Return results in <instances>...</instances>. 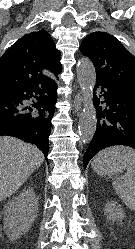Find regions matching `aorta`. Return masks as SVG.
I'll return each instance as SVG.
<instances>
[{
	"instance_id": "aorta-1",
	"label": "aorta",
	"mask_w": 135,
	"mask_h": 249,
	"mask_svg": "<svg viewBox=\"0 0 135 249\" xmlns=\"http://www.w3.org/2000/svg\"><path fill=\"white\" fill-rule=\"evenodd\" d=\"M77 78L84 98V108L79 118V134L84 143H89L96 130V111L92 102L96 73L88 59H81L77 65Z\"/></svg>"
}]
</instances>
